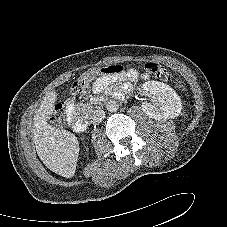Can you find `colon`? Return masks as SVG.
<instances>
[{"instance_id":"obj_1","label":"colon","mask_w":227,"mask_h":227,"mask_svg":"<svg viewBox=\"0 0 227 227\" xmlns=\"http://www.w3.org/2000/svg\"><path fill=\"white\" fill-rule=\"evenodd\" d=\"M145 71L161 80H168L170 78V72L162 65L150 61L144 65ZM123 67L120 65H112L102 68H93L86 73L79 76L73 83L71 91L75 95H82L88 91L89 85L94 78L97 77H109L120 73ZM63 113L60 109L56 110L54 114L55 120H61Z\"/></svg>"}]
</instances>
